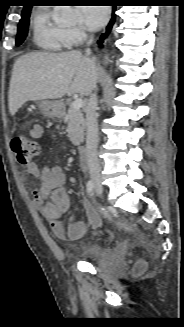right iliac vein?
Here are the masks:
<instances>
[{"label": "right iliac vein", "mask_w": 184, "mask_h": 327, "mask_svg": "<svg viewBox=\"0 0 184 327\" xmlns=\"http://www.w3.org/2000/svg\"><path fill=\"white\" fill-rule=\"evenodd\" d=\"M96 187H97V190L101 193L102 192V187H101L99 182H96Z\"/></svg>", "instance_id": "right-iliac-vein-1"}]
</instances>
